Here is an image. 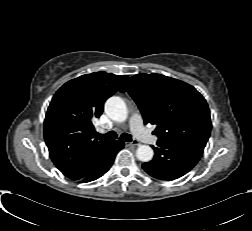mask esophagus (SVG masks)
Here are the masks:
<instances>
[{
	"mask_svg": "<svg viewBox=\"0 0 252 231\" xmlns=\"http://www.w3.org/2000/svg\"><path fill=\"white\" fill-rule=\"evenodd\" d=\"M126 145H127V146H137V145H139V142L136 141V140H134V141H132V142L126 143Z\"/></svg>",
	"mask_w": 252,
	"mask_h": 231,
	"instance_id": "1",
	"label": "esophagus"
}]
</instances>
